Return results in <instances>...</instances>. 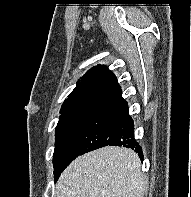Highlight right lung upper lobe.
I'll return each instance as SVG.
<instances>
[{"label": "right lung upper lobe", "instance_id": "right-lung-upper-lobe-1", "mask_svg": "<svg viewBox=\"0 0 191 197\" xmlns=\"http://www.w3.org/2000/svg\"><path fill=\"white\" fill-rule=\"evenodd\" d=\"M120 88L116 76L105 65H98L86 72L75 89L64 101L60 113L93 108L102 99Z\"/></svg>", "mask_w": 191, "mask_h": 197}]
</instances>
